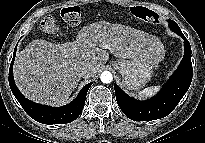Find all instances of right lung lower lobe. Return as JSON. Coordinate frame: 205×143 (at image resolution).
I'll return each instance as SVG.
<instances>
[{
  "label": "right lung lower lobe",
  "mask_w": 205,
  "mask_h": 143,
  "mask_svg": "<svg viewBox=\"0 0 205 143\" xmlns=\"http://www.w3.org/2000/svg\"><path fill=\"white\" fill-rule=\"evenodd\" d=\"M14 50L13 59L9 69V85L12 93L26 111V113L42 124H65L74 121L82 112L86 100L87 91L92 83L85 85L77 97L68 105L62 107H50L30 101L18 90L13 78V62L16 55Z\"/></svg>",
  "instance_id": "98d812e1"
}]
</instances>
